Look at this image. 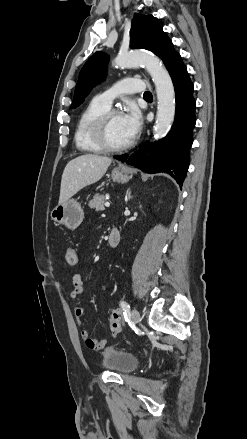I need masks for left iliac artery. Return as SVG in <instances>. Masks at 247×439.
I'll list each match as a JSON object with an SVG mask.
<instances>
[{"instance_id": "obj_1", "label": "left iliac artery", "mask_w": 247, "mask_h": 439, "mask_svg": "<svg viewBox=\"0 0 247 439\" xmlns=\"http://www.w3.org/2000/svg\"><path fill=\"white\" fill-rule=\"evenodd\" d=\"M120 306L123 310L125 320H128L130 317V306L126 301H121Z\"/></svg>"}]
</instances>
